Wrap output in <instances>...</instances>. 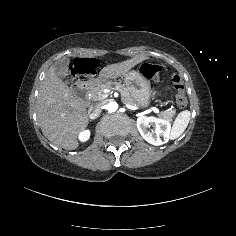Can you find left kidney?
<instances>
[{"label": "left kidney", "instance_id": "1", "mask_svg": "<svg viewBox=\"0 0 236 236\" xmlns=\"http://www.w3.org/2000/svg\"><path fill=\"white\" fill-rule=\"evenodd\" d=\"M154 127L153 131L148 130V126ZM137 128L140 135L150 144L158 146L169 140L171 124L167 120L156 117L141 116L137 118ZM161 137L164 138L162 141Z\"/></svg>", "mask_w": 236, "mask_h": 236}]
</instances>
